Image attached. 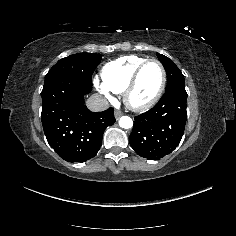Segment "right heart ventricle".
<instances>
[{
  "instance_id": "e07e8e85",
  "label": "right heart ventricle",
  "mask_w": 236,
  "mask_h": 236,
  "mask_svg": "<svg viewBox=\"0 0 236 236\" xmlns=\"http://www.w3.org/2000/svg\"><path fill=\"white\" fill-rule=\"evenodd\" d=\"M145 60L146 57L127 55L106 63L100 72L103 85L110 92L122 93L137 66Z\"/></svg>"
}]
</instances>
